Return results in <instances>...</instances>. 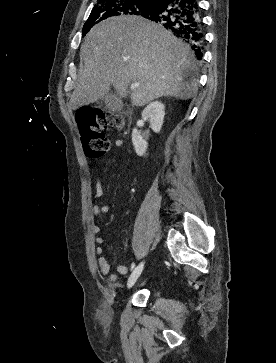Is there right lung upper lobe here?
Segmentation results:
<instances>
[{"label": "right lung upper lobe", "mask_w": 276, "mask_h": 363, "mask_svg": "<svg viewBox=\"0 0 276 363\" xmlns=\"http://www.w3.org/2000/svg\"><path fill=\"white\" fill-rule=\"evenodd\" d=\"M149 1H152L153 3H157L159 0H149Z\"/></svg>", "instance_id": "cb5924a9"}]
</instances>
